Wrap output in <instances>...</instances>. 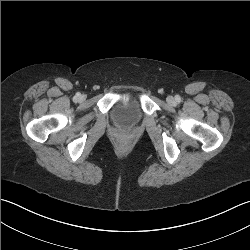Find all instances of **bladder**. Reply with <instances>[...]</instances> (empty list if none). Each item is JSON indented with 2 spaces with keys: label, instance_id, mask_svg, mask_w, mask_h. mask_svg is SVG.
<instances>
[{
  "label": "bladder",
  "instance_id": "1",
  "mask_svg": "<svg viewBox=\"0 0 250 250\" xmlns=\"http://www.w3.org/2000/svg\"><path fill=\"white\" fill-rule=\"evenodd\" d=\"M113 117L117 125L132 127L139 123L141 110L136 100L120 101L113 109Z\"/></svg>",
  "mask_w": 250,
  "mask_h": 250
}]
</instances>
